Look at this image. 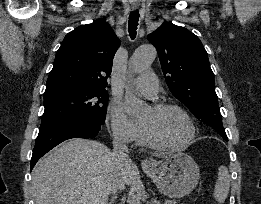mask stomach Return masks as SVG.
Returning a JSON list of instances; mask_svg holds the SVG:
<instances>
[{
	"mask_svg": "<svg viewBox=\"0 0 261 204\" xmlns=\"http://www.w3.org/2000/svg\"><path fill=\"white\" fill-rule=\"evenodd\" d=\"M143 171L151 177L164 195L180 198L189 194L198 184L200 173L196 162L185 153H175L161 164L143 166Z\"/></svg>",
	"mask_w": 261,
	"mask_h": 204,
	"instance_id": "obj_1",
	"label": "stomach"
}]
</instances>
